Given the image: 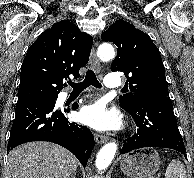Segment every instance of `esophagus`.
<instances>
[{
    "instance_id": "obj_1",
    "label": "esophagus",
    "mask_w": 194,
    "mask_h": 178,
    "mask_svg": "<svg viewBox=\"0 0 194 178\" xmlns=\"http://www.w3.org/2000/svg\"><path fill=\"white\" fill-rule=\"evenodd\" d=\"M90 64L96 70L100 71V63L96 55V48L95 45L92 47L91 54H90ZM95 141L99 144L105 143L108 141V137L105 135L95 134Z\"/></svg>"
}]
</instances>
